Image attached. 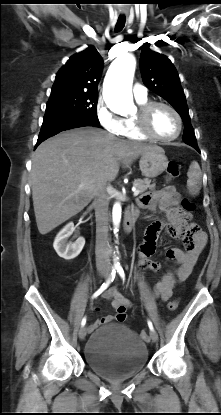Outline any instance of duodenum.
Returning <instances> with one entry per match:
<instances>
[{
  "label": "duodenum",
  "mask_w": 221,
  "mask_h": 415,
  "mask_svg": "<svg viewBox=\"0 0 221 415\" xmlns=\"http://www.w3.org/2000/svg\"><path fill=\"white\" fill-rule=\"evenodd\" d=\"M137 217V210L134 208H129L126 211L124 218V229L126 232H130L134 226L135 220Z\"/></svg>",
  "instance_id": "duodenum-1"
}]
</instances>
